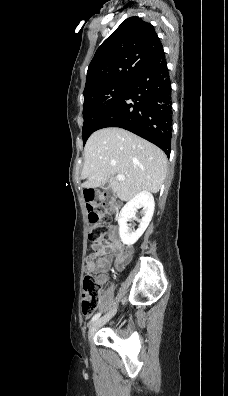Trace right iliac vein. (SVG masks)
Instances as JSON below:
<instances>
[{
	"label": "right iliac vein",
	"instance_id": "obj_1",
	"mask_svg": "<svg viewBox=\"0 0 228 396\" xmlns=\"http://www.w3.org/2000/svg\"><path fill=\"white\" fill-rule=\"evenodd\" d=\"M116 313V308L111 310L109 313H107L105 316L101 317L100 319L95 320L89 327L88 331V338L90 339L92 335L96 332V330L104 325L106 322H108Z\"/></svg>",
	"mask_w": 228,
	"mask_h": 396
}]
</instances>
